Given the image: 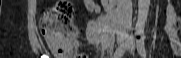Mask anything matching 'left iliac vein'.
<instances>
[{
    "instance_id": "4c4485c4",
    "label": "left iliac vein",
    "mask_w": 181,
    "mask_h": 58,
    "mask_svg": "<svg viewBox=\"0 0 181 58\" xmlns=\"http://www.w3.org/2000/svg\"><path fill=\"white\" fill-rule=\"evenodd\" d=\"M134 48H135L134 40H133V38L130 37L129 38V44H128V51L130 53H133Z\"/></svg>"
}]
</instances>
